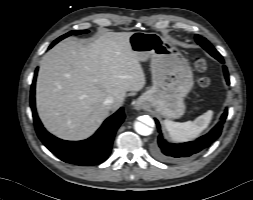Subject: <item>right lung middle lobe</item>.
Here are the masks:
<instances>
[{"label":"right lung middle lobe","instance_id":"1","mask_svg":"<svg viewBox=\"0 0 253 200\" xmlns=\"http://www.w3.org/2000/svg\"><path fill=\"white\" fill-rule=\"evenodd\" d=\"M87 32H88L87 30H75V31H71V32H69V33H67V34H65V35H63V36H61V37H59V38L56 39L55 41L58 42V41H60V40H62V39H64V38H66V37H68V36H70V35H72V34L78 35V34L87 33Z\"/></svg>","mask_w":253,"mask_h":200}]
</instances>
